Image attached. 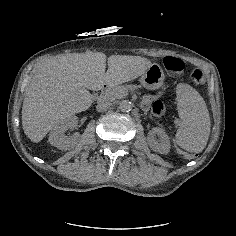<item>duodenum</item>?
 <instances>
[{
	"mask_svg": "<svg viewBox=\"0 0 236 236\" xmlns=\"http://www.w3.org/2000/svg\"><path fill=\"white\" fill-rule=\"evenodd\" d=\"M111 87L110 83H103L100 85L99 91H105Z\"/></svg>",
	"mask_w": 236,
	"mask_h": 236,
	"instance_id": "410a0bca",
	"label": "duodenum"
}]
</instances>
